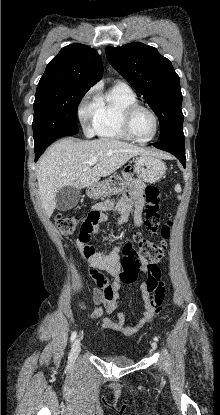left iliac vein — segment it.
Segmentation results:
<instances>
[{"label":"left iliac vein","instance_id":"1","mask_svg":"<svg viewBox=\"0 0 220 415\" xmlns=\"http://www.w3.org/2000/svg\"><path fill=\"white\" fill-rule=\"evenodd\" d=\"M151 346H152V349L155 350L157 348L156 342H152Z\"/></svg>","mask_w":220,"mask_h":415}]
</instances>
